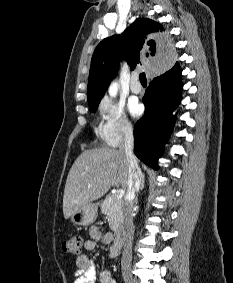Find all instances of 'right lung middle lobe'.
I'll use <instances>...</instances> for the list:
<instances>
[{
    "instance_id": "1",
    "label": "right lung middle lobe",
    "mask_w": 233,
    "mask_h": 283,
    "mask_svg": "<svg viewBox=\"0 0 233 283\" xmlns=\"http://www.w3.org/2000/svg\"><path fill=\"white\" fill-rule=\"evenodd\" d=\"M98 104L89 106L91 112H95L97 110Z\"/></svg>"
}]
</instances>
